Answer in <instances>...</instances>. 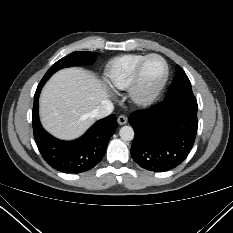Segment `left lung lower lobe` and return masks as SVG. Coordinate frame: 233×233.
<instances>
[{
	"label": "left lung lower lobe",
	"instance_id": "1",
	"mask_svg": "<svg viewBox=\"0 0 233 233\" xmlns=\"http://www.w3.org/2000/svg\"><path fill=\"white\" fill-rule=\"evenodd\" d=\"M198 105L195 96L165 98L145 110L130 114L135 137L131 146L133 160L142 168L162 172L181 164L193 147Z\"/></svg>",
	"mask_w": 233,
	"mask_h": 233
}]
</instances>
